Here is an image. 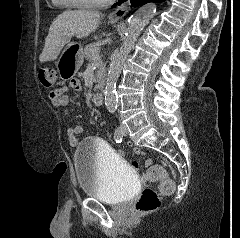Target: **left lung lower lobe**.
Returning <instances> with one entry per match:
<instances>
[{"mask_svg":"<svg viewBox=\"0 0 240 238\" xmlns=\"http://www.w3.org/2000/svg\"><path fill=\"white\" fill-rule=\"evenodd\" d=\"M125 1L126 0H119V2L114 4L112 7L114 8L116 5H120ZM161 1H164V0H131V3L133 4V6H139V5L146 4L148 2H161Z\"/></svg>","mask_w":240,"mask_h":238,"instance_id":"0a47b994","label":"left lung lower lobe"}]
</instances>
